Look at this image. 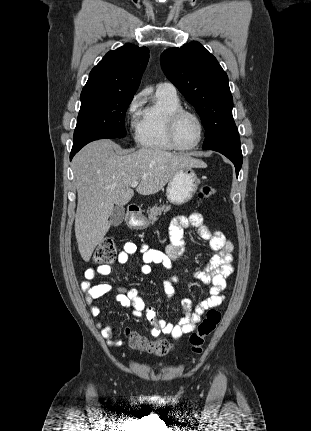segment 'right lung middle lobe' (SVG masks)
Masks as SVG:
<instances>
[{"label":"right lung middle lobe","mask_w":311,"mask_h":431,"mask_svg":"<svg viewBox=\"0 0 311 431\" xmlns=\"http://www.w3.org/2000/svg\"><path fill=\"white\" fill-rule=\"evenodd\" d=\"M133 96L102 91L82 92L73 139L97 133L125 137V113Z\"/></svg>","instance_id":"dd1d6c3e"}]
</instances>
